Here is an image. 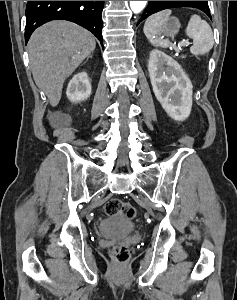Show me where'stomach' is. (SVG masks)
<instances>
[{
    "instance_id": "obj_1",
    "label": "stomach",
    "mask_w": 237,
    "mask_h": 300,
    "mask_svg": "<svg viewBox=\"0 0 237 300\" xmlns=\"http://www.w3.org/2000/svg\"><path fill=\"white\" fill-rule=\"evenodd\" d=\"M179 29V19H176V17H170V19H167L164 25H162L161 31H159L158 35H163V37H174V35H177Z\"/></svg>"
}]
</instances>
